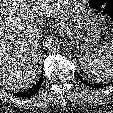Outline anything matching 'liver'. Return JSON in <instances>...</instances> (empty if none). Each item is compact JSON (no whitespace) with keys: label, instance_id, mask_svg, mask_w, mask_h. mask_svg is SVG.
<instances>
[{"label":"liver","instance_id":"6515ba94","mask_svg":"<svg viewBox=\"0 0 113 113\" xmlns=\"http://www.w3.org/2000/svg\"><path fill=\"white\" fill-rule=\"evenodd\" d=\"M69 13V0H0V86L27 90L39 66L44 19Z\"/></svg>","mask_w":113,"mask_h":113}]
</instances>
